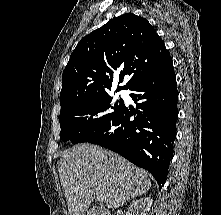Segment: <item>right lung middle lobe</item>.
Instances as JSON below:
<instances>
[{"mask_svg": "<svg viewBox=\"0 0 221 215\" xmlns=\"http://www.w3.org/2000/svg\"><path fill=\"white\" fill-rule=\"evenodd\" d=\"M123 108V100L114 102L108 93L68 104L60 112V139L88 142L109 130Z\"/></svg>", "mask_w": 221, "mask_h": 215, "instance_id": "right-lung-middle-lobe-1", "label": "right lung middle lobe"}]
</instances>
